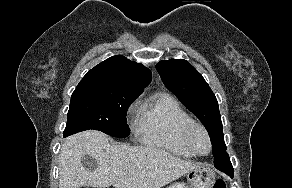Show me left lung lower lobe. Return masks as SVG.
Here are the masks:
<instances>
[{
  "label": "left lung lower lobe",
  "mask_w": 292,
  "mask_h": 188,
  "mask_svg": "<svg viewBox=\"0 0 292 188\" xmlns=\"http://www.w3.org/2000/svg\"><path fill=\"white\" fill-rule=\"evenodd\" d=\"M225 166H229L232 168V165H231L229 158L223 164H215L216 168L226 171V168H224Z\"/></svg>",
  "instance_id": "0a47b994"
}]
</instances>
